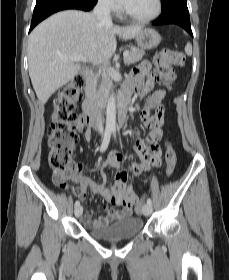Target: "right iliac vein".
<instances>
[{"label":"right iliac vein","mask_w":229,"mask_h":280,"mask_svg":"<svg viewBox=\"0 0 229 280\" xmlns=\"http://www.w3.org/2000/svg\"><path fill=\"white\" fill-rule=\"evenodd\" d=\"M75 216L80 217L83 213V207L82 206H77L75 207Z\"/></svg>","instance_id":"right-iliac-vein-1"}]
</instances>
